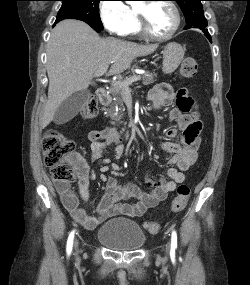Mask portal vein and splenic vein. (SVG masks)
I'll use <instances>...</instances> for the list:
<instances>
[{"label": "portal vein and splenic vein", "mask_w": 250, "mask_h": 285, "mask_svg": "<svg viewBox=\"0 0 250 285\" xmlns=\"http://www.w3.org/2000/svg\"><path fill=\"white\" fill-rule=\"evenodd\" d=\"M108 69V65H105L103 67H101L96 73L95 76L100 77L102 76L104 73H106ZM141 78L140 76H134L130 79H128L127 81L124 82H119V81H113L112 85H119L120 87H122L124 89V91H128L129 90V85L133 82L139 81Z\"/></svg>", "instance_id": "1"}]
</instances>
